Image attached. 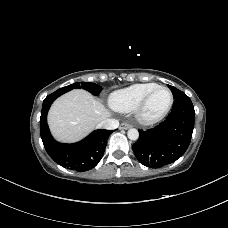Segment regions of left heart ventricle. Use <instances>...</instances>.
Returning <instances> with one entry per match:
<instances>
[{
	"label": "left heart ventricle",
	"mask_w": 228,
	"mask_h": 228,
	"mask_svg": "<svg viewBox=\"0 0 228 228\" xmlns=\"http://www.w3.org/2000/svg\"><path fill=\"white\" fill-rule=\"evenodd\" d=\"M170 103V94L164 89L156 91L149 99L144 114L148 118H153L165 111Z\"/></svg>",
	"instance_id": "left-heart-ventricle-1"
}]
</instances>
